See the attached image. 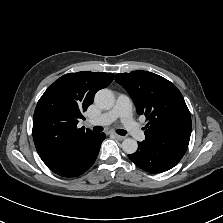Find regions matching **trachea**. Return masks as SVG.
<instances>
[{
    "mask_svg": "<svg viewBox=\"0 0 223 223\" xmlns=\"http://www.w3.org/2000/svg\"><path fill=\"white\" fill-rule=\"evenodd\" d=\"M102 130H103V128L99 127V126H95L93 128L94 132H101ZM116 132L121 136H125L127 134V131H125L124 129H118Z\"/></svg>",
    "mask_w": 223,
    "mask_h": 223,
    "instance_id": "3493384b",
    "label": "trachea"
}]
</instances>
